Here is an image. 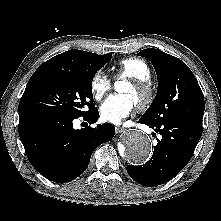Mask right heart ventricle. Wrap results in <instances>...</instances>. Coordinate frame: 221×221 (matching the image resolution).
Returning a JSON list of instances; mask_svg holds the SVG:
<instances>
[{
  "label": "right heart ventricle",
  "mask_w": 221,
  "mask_h": 221,
  "mask_svg": "<svg viewBox=\"0 0 221 221\" xmlns=\"http://www.w3.org/2000/svg\"><path fill=\"white\" fill-rule=\"evenodd\" d=\"M116 76L149 81L151 70L148 64L136 57L121 59L115 66Z\"/></svg>",
  "instance_id": "e07e8e85"
}]
</instances>
